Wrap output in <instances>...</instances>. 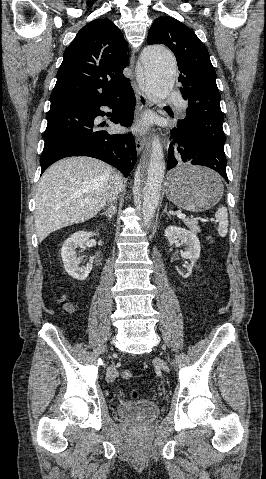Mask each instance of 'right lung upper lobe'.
<instances>
[{"mask_svg": "<svg viewBox=\"0 0 266 479\" xmlns=\"http://www.w3.org/2000/svg\"><path fill=\"white\" fill-rule=\"evenodd\" d=\"M127 44L109 19L85 25L65 50L50 96L51 106L111 96L130 84L123 70L128 65Z\"/></svg>", "mask_w": 266, "mask_h": 479, "instance_id": "right-lung-upper-lobe-1", "label": "right lung upper lobe"}]
</instances>
